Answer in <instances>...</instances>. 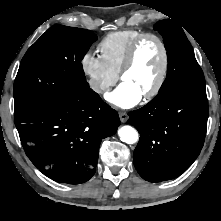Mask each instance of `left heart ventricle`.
<instances>
[{
  "instance_id": "obj_1",
  "label": "left heart ventricle",
  "mask_w": 221,
  "mask_h": 221,
  "mask_svg": "<svg viewBox=\"0 0 221 221\" xmlns=\"http://www.w3.org/2000/svg\"><path fill=\"white\" fill-rule=\"evenodd\" d=\"M162 55L159 44L146 39L140 45L134 65L122 81L137 89L142 96L155 84L161 67Z\"/></svg>"
}]
</instances>
